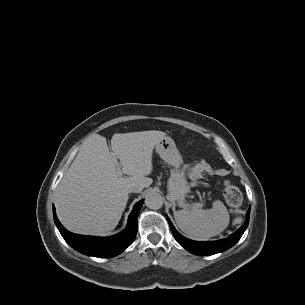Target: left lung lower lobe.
I'll return each mask as SVG.
<instances>
[{"mask_svg":"<svg viewBox=\"0 0 305 305\" xmlns=\"http://www.w3.org/2000/svg\"><path fill=\"white\" fill-rule=\"evenodd\" d=\"M249 214L250 211H247V218L245 223L233 233L230 237L213 242H196L189 239L184 238L181 236L174 228L173 224L167 217L169 222L172 234L174 238L178 241V243L183 246L186 250L190 253L195 255H213L219 252H223L231 248L234 244L238 242V240L243 235L244 231L246 230L249 222Z\"/></svg>","mask_w":305,"mask_h":305,"instance_id":"1","label":"left lung lower lobe"}]
</instances>
